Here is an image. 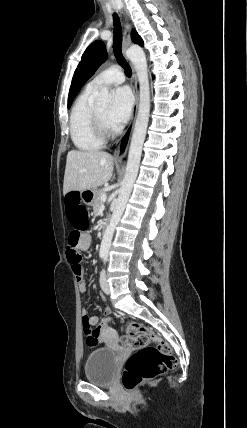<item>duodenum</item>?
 Listing matches in <instances>:
<instances>
[{
    "mask_svg": "<svg viewBox=\"0 0 247 428\" xmlns=\"http://www.w3.org/2000/svg\"><path fill=\"white\" fill-rule=\"evenodd\" d=\"M107 227H108V222H105V223L103 224V227H102V231H103V233L106 231Z\"/></svg>",
    "mask_w": 247,
    "mask_h": 428,
    "instance_id": "410a0bca",
    "label": "duodenum"
}]
</instances>
